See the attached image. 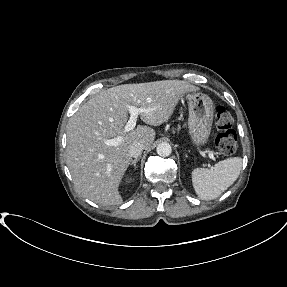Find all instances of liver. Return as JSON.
Wrapping results in <instances>:
<instances>
[{
	"label": "liver",
	"mask_w": 287,
	"mask_h": 287,
	"mask_svg": "<svg viewBox=\"0 0 287 287\" xmlns=\"http://www.w3.org/2000/svg\"><path fill=\"white\" fill-rule=\"evenodd\" d=\"M198 90L182 80L124 84L84 103L66 129V162L77 192L101 206L121 204L118 187L131 162L130 146L139 142L148 148L156 135L153 128L143 125L125 132L128 107L149 109L139 113L141 120L159 126L170 119L184 94ZM113 137H121L122 142L118 146L104 144Z\"/></svg>",
	"instance_id": "liver-1"
}]
</instances>
